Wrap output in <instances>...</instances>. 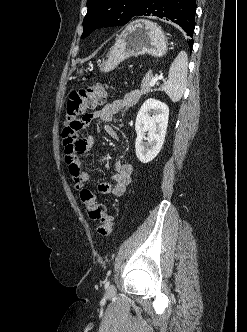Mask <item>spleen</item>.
I'll return each instance as SVG.
<instances>
[{
    "label": "spleen",
    "instance_id": "3e777b00",
    "mask_svg": "<svg viewBox=\"0 0 247 332\" xmlns=\"http://www.w3.org/2000/svg\"><path fill=\"white\" fill-rule=\"evenodd\" d=\"M188 58L184 51H181L169 69L167 81H165L159 90L164 91L172 102H178L187 86Z\"/></svg>",
    "mask_w": 247,
    "mask_h": 332
}]
</instances>
